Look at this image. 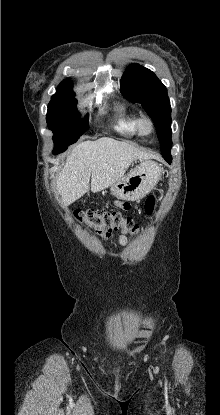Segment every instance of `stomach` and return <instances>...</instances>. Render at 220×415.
<instances>
[{"label": "stomach", "mask_w": 220, "mask_h": 415, "mask_svg": "<svg viewBox=\"0 0 220 415\" xmlns=\"http://www.w3.org/2000/svg\"><path fill=\"white\" fill-rule=\"evenodd\" d=\"M161 174V168L157 163L144 160L127 176L112 184L110 191L118 199L135 201L143 198L156 186Z\"/></svg>", "instance_id": "stomach-1"}]
</instances>
